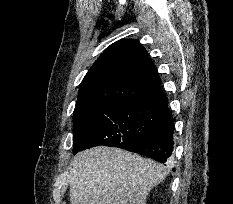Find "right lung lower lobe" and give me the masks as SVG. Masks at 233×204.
Returning <instances> with one entry per match:
<instances>
[{
	"instance_id": "1",
	"label": "right lung lower lobe",
	"mask_w": 233,
	"mask_h": 204,
	"mask_svg": "<svg viewBox=\"0 0 233 204\" xmlns=\"http://www.w3.org/2000/svg\"><path fill=\"white\" fill-rule=\"evenodd\" d=\"M168 99L162 93L158 97L152 99V104L156 107L158 113L165 119L166 124L161 129L130 141L121 142L116 147L135 152L156 161L164 163L170 158L173 151V132L174 122L167 108ZM89 145L82 144L74 149V153L82 149L90 148Z\"/></svg>"
}]
</instances>
